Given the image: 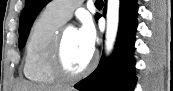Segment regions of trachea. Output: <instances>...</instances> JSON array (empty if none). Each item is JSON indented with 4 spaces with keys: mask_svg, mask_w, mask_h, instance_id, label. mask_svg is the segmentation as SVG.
I'll return each mask as SVG.
<instances>
[{
    "mask_svg": "<svg viewBox=\"0 0 173 91\" xmlns=\"http://www.w3.org/2000/svg\"><path fill=\"white\" fill-rule=\"evenodd\" d=\"M95 5L96 6H103V1L102 0H96Z\"/></svg>",
    "mask_w": 173,
    "mask_h": 91,
    "instance_id": "trachea-1",
    "label": "trachea"
}]
</instances>
